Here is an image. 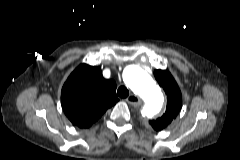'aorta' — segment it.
Here are the masks:
<instances>
[{
  "label": "aorta",
  "mask_w": 240,
  "mask_h": 160,
  "mask_svg": "<svg viewBox=\"0 0 240 160\" xmlns=\"http://www.w3.org/2000/svg\"><path fill=\"white\" fill-rule=\"evenodd\" d=\"M123 78L125 83L142 99L143 116L153 117L161 111L164 103L163 93L148 73L139 66L130 65L125 68Z\"/></svg>",
  "instance_id": "obj_1"
}]
</instances>
